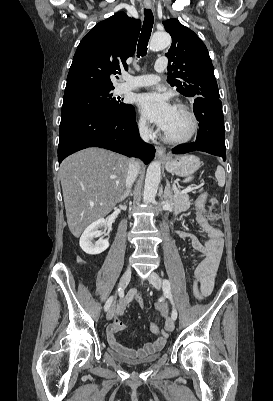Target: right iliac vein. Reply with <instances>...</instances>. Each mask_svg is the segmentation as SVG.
<instances>
[{
	"label": "right iliac vein",
	"mask_w": 273,
	"mask_h": 401,
	"mask_svg": "<svg viewBox=\"0 0 273 401\" xmlns=\"http://www.w3.org/2000/svg\"><path fill=\"white\" fill-rule=\"evenodd\" d=\"M130 279H131V268L129 267L126 269V271L124 272L123 276L120 279V282H119L120 291L128 285ZM120 291L118 290L119 293H120ZM115 309H116V302L114 301L107 312V315H106L107 320H111L113 318V316L115 314Z\"/></svg>",
	"instance_id": "obj_1"
}]
</instances>
